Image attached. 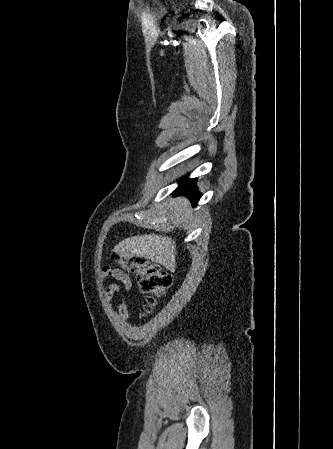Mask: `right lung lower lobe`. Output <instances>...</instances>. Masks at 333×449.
Listing matches in <instances>:
<instances>
[{
  "label": "right lung lower lobe",
  "instance_id": "obj_1",
  "mask_svg": "<svg viewBox=\"0 0 333 449\" xmlns=\"http://www.w3.org/2000/svg\"><path fill=\"white\" fill-rule=\"evenodd\" d=\"M195 183L196 179H188L187 177H184L181 182H179V186L174 191V195L184 193L185 195L190 197L193 205L196 206L201 195L198 193Z\"/></svg>",
  "mask_w": 333,
  "mask_h": 449
}]
</instances>
